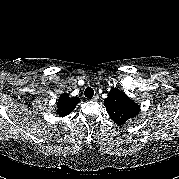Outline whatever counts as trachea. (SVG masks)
I'll list each match as a JSON object with an SVG mask.
<instances>
[{
  "instance_id": "trachea-1",
  "label": "trachea",
  "mask_w": 179,
  "mask_h": 179,
  "mask_svg": "<svg viewBox=\"0 0 179 179\" xmlns=\"http://www.w3.org/2000/svg\"><path fill=\"white\" fill-rule=\"evenodd\" d=\"M85 97L91 99L94 96V90L91 87H87L84 91Z\"/></svg>"
}]
</instances>
